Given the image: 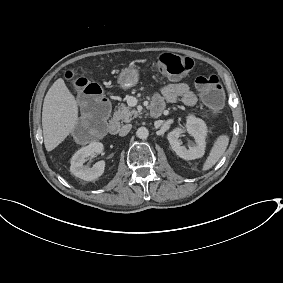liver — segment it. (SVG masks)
I'll return each instance as SVG.
<instances>
[{
  "mask_svg": "<svg viewBox=\"0 0 283 283\" xmlns=\"http://www.w3.org/2000/svg\"><path fill=\"white\" fill-rule=\"evenodd\" d=\"M78 102L62 78L49 89L43 104L42 129L47 152L59 146L77 127Z\"/></svg>",
  "mask_w": 283,
  "mask_h": 283,
  "instance_id": "obj_1",
  "label": "liver"
}]
</instances>
